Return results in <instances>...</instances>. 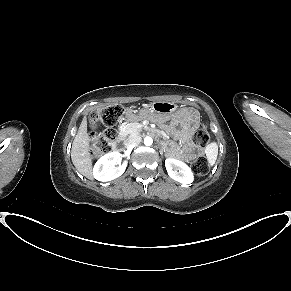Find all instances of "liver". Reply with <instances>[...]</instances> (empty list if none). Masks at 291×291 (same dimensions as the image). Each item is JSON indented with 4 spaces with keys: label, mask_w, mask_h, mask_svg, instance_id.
<instances>
[{
    "label": "liver",
    "mask_w": 291,
    "mask_h": 291,
    "mask_svg": "<svg viewBox=\"0 0 291 291\" xmlns=\"http://www.w3.org/2000/svg\"><path fill=\"white\" fill-rule=\"evenodd\" d=\"M89 144L90 138L87 133V122L84 118L72 143L71 159L78 172L92 180V159L89 153Z\"/></svg>",
    "instance_id": "obj_1"
}]
</instances>
